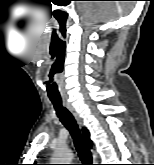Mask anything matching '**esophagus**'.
<instances>
[{
  "label": "esophagus",
  "mask_w": 154,
  "mask_h": 165,
  "mask_svg": "<svg viewBox=\"0 0 154 165\" xmlns=\"http://www.w3.org/2000/svg\"><path fill=\"white\" fill-rule=\"evenodd\" d=\"M63 105L71 112V114L74 116L75 120L77 121V123L79 124L80 127H82V119L79 116V114L77 113V111L75 110V108L72 106V104L70 102H68L67 99L62 100Z\"/></svg>",
  "instance_id": "obj_1"
}]
</instances>
